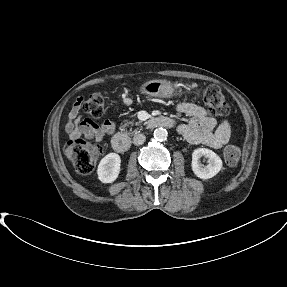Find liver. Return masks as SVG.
<instances>
[{
    "label": "liver",
    "instance_id": "6515ba94",
    "mask_svg": "<svg viewBox=\"0 0 287 287\" xmlns=\"http://www.w3.org/2000/svg\"><path fill=\"white\" fill-rule=\"evenodd\" d=\"M67 158L72 161L73 160V149L72 147H67L65 150Z\"/></svg>",
    "mask_w": 287,
    "mask_h": 287
}]
</instances>
